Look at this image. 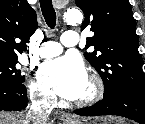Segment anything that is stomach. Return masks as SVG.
<instances>
[{
    "mask_svg": "<svg viewBox=\"0 0 145 124\" xmlns=\"http://www.w3.org/2000/svg\"><path fill=\"white\" fill-rule=\"evenodd\" d=\"M69 124H122L121 119L115 117L97 118L96 120L81 119L71 121Z\"/></svg>",
    "mask_w": 145,
    "mask_h": 124,
    "instance_id": "1",
    "label": "stomach"
}]
</instances>
